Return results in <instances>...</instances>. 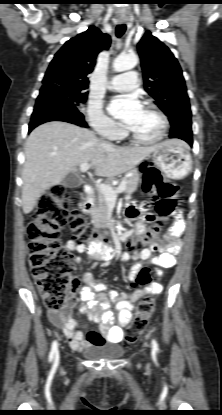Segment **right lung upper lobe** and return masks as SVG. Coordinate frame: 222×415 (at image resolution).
Masks as SVG:
<instances>
[{
	"mask_svg": "<svg viewBox=\"0 0 222 415\" xmlns=\"http://www.w3.org/2000/svg\"><path fill=\"white\" fill-rule=\"evenodd\" d=\"M109 47L110 36L90 26L87 31L68 40L55 54L45 73L42 88L87 89L88 74L94 69L97 55Z\"/></svg>",
	"mask_w": 222,
	"mask_h": 415,
	"instance_id": "obj_1",
	"label": "right lung upper lobe"
}]
</instances>
